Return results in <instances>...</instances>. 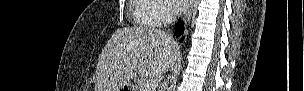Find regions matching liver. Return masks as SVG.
I'll use <instances>...</instances> for the list:
<instances>
[{"instance_id":"liver-1","label":"liver","mask_w":304,"mask_h":91,"mask_svg":"<svg viewBox=\"0 0 304 91\" xmlns=\"http://www.w3.org/2000/svg\"><path fill=\"white\" fill-rule=\"evenodd\" d=\"M179 55L177 43L152 27L122 28L103 48L95 72V91H119L135 77H158Z\"/></svg>"}]
</instances>
